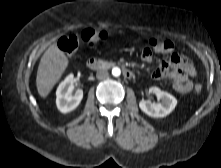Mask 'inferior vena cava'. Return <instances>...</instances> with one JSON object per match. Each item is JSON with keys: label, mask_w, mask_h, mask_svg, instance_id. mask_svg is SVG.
Segmentation results:
<instances>
[{"label": "inferior vena cava", "mask_w": 221, "mask_h": 168, "mask_svg": "<svg viewBox=\"0 0 221 168\" xmlns=\"http://www.w3.org/2000/svg\"><path fill=\"white\" fill-rule=\"evenodd\" d=\"M108 71L107 70H99L97 71L96 73V77L97 79L99 80H103V79H106L108 77Z\"/></svg>", "instance_id": "inferior-vena-cava-1"}]
</instances>
